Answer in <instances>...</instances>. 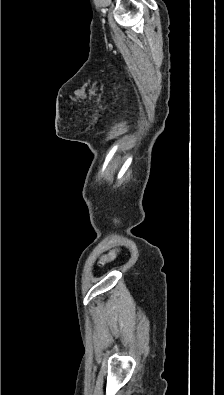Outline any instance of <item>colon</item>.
Instances as JSON below:
<instances>
[{
  "label": "colon",
  "mask_w": 224,
  "mask_h": 395,
  "mask_svg": "<svg viewBox=\"0 0 224 395\" xmlns=\"http://www.w3.org/2000/svg\"><path fill=\"white\" fill-rule=\"evenodd\" d=\"M119 252H120L119 249H114V250L108 252L107 254L101 256V258L99 260V264L105 265L108 262L114 260L118 256Z\"/></svg>",
  "instance_id": "colon-1"
}]
</instances>
